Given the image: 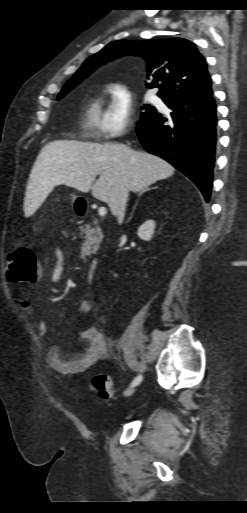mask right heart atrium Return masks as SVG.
Returning a JSON list of instances; mask_svg holds the SVG:
<instances>
[{"instance_id":"1","label":"right heart atrium","mask_w":247,"mask_h":513,"mask_svg":"<svg viewBox=\"0 0 247 513\" xmlns=\"http://www.w3.org/2000/svg\"><path fill=\"white\" fill-rule=\"evenodd\" d=\"M110 100L100 121L99 133L105 139H116L128 130L134 113V99L123 83L109 87Z\"/></svg>"}]
</instances>
